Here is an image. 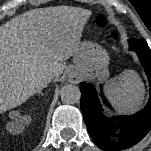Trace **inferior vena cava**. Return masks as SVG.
Wrapping results in <instances>:
<instances>
[{
    "instance_id": "1",
    "label": "inferior vena cava",
    "mask_w": 151,
    "mask_h": 151,
    "mask_svg": "<svg viewBox=\"0 0 151 151\" xmlns=\"http://www.w3.org/2000/svg\"><path fill=\"white\" fill-rule=\"evenodd\" d=\"M53 73H54L55 75L58 74L57 71H54Z\"/></svg>"
}]
</instances>
